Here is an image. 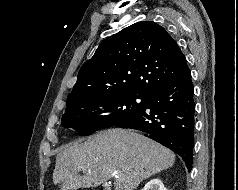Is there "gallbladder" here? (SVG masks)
Returning <instances> with one entry per match:
<instances>
[{
  "mask_svg": "<svg viewBox=\"0 0 238 190\" xmlns=\"http://www.w3.org/2000/svg\"><path fill=\"white\" fill-rule=\"evenodd\" d=\"M104 190H110V185H108V184L105 185V186H104Z\"/></svg>",
  "mask_w": 238,
  "mask_h": 190,
  "instance_id": "bac80fb5",
  "label": "gallbladder"
}]
</instances>
